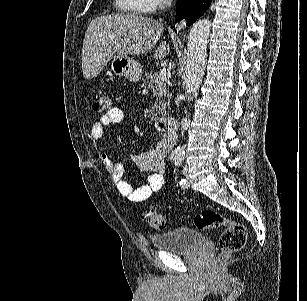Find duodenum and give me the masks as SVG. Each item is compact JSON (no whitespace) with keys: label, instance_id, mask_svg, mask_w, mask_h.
<instances>
[{"label":"duodenum","instance_id":"obj_1","mask_svg":"<svg viewBox=\"0 0 307 301\" xmlns=\"http://www.w3.org/2000/svg\"><path fill=\"white\" fill-rule=\"evenodd\" d=\"M156 126L163 132L173 133L177 129V120L171 116L161 117L157 119Z\"/></svg>","mask_w":307,"mask_h":301}]
</instances>
